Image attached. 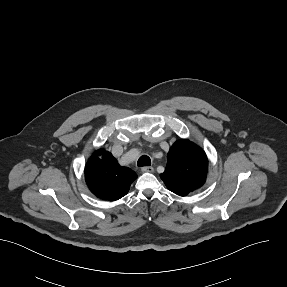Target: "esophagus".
Returning a JSON list of instances; mask_svg holds the SVG:
<instances>
[{
  "mask_svg": "<svg viewBox=\"0 0 287 287\" xmlns=\"http://www.w3.org/2000/svg\"><path fill=\"white\" fill-rule=\"evenodd\" d=\"M141 171H142V172H153V171H154V168L151 167V166H145V167H142V168H141Z\"/></svg>",
  "mask_w": 287,
  "mask_h": 287,
  "instance_id": "1",
  "label": "esophagus"
}]
</instances>
